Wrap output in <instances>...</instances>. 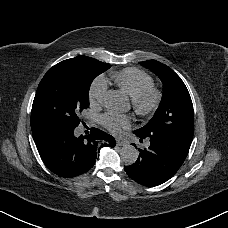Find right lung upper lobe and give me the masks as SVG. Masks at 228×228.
I'll return each mask as SVG.
<instances>
[{
  "label": "right lung upper lobe",
  "mask_w": 228,
  "mask_h": 228,
  "mask_svg": "<svg viewBox=\"0 0 228 228\" xmlns=\"http://www.w3.org/2000/svg\"><path fill=\"white\" fill-rule=\"evenodd\" d=\"M84 56H77L75 58H71V59H67V60H64V61H74V60H78L80 58H83Z\"/></svg>",
  "instance_id": "1"
}]
</instances>
